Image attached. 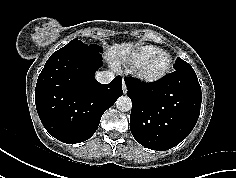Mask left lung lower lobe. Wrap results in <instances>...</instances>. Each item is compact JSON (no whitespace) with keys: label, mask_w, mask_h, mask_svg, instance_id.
Here are the masks:
<instances>
[{"label":"left lung lower lobe","mask_w":236,"mask_h":178,"mask_svg":"<svg viewBox=\"0 0 236 178\" xmlns=\"http://www.w3.org/2000/svg\"><path fill=\"white\" fill-rule=\"evenodd\" d=\"M132 100L130 130L146 148L164 151L193 130L202 101L196 73L174 71L153 83L125 78Z\"/></svg>","instance_id":"left-lung-lower-lobe-1"}]
</instances>
